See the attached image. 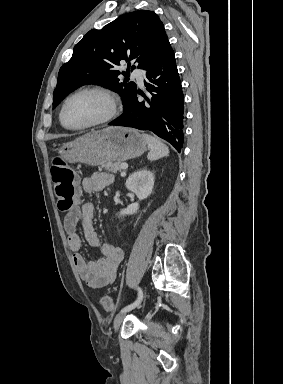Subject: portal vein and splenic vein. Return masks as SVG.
Here are the masks:
<instances>
[{"mask_svg":"<svg viewBox=\"0 0 283 384\" xmlns=\"http://www.w3.org/2000/svg\"><path fill=\"white\" fill-rule=\"evenodd\" d=\"M121 168L122 170H126V168H128V164H121Z\"/></svg>","mask_w":283,"mask_h":384,"instance_id":"1","label":"portal vein and splenic vein"}]
</instances>
